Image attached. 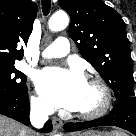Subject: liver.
Segmentation results:
<instances>
[{
	"mask_svg": "<svg viewBox=\"0 0 136 136\" xmlns=\"http://www.w3.org/2000/svg\"><path fill=\"white\" fill-rule=\"evenodd\" d=\"M0 136H29V132L22 124L0 115Z\"/></svg>",
	"mask_w": 136,
	"mask_h": 136,
	"instance_id": "1",
	"label": "liver"
}]
</instances>
